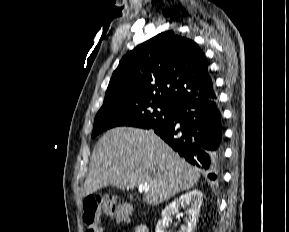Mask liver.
<instances>
[{
    "mask_svg": "<svg viewBox=\"0 0 289 232\" xmlns=\"http://www.w3.org/2000/svg\"><path fill=\"white\" fill-rule=\"evenodd\" d=\"M199 178L198 170L153 131L117 127L96 144L82 195L108 185L128 190L147 184L144 201L154 206L189 190Z\"/></svg>",
    "mask_w": 289,
    "mask_h": 232,
    "instance_id": "liver-1",
    "label": "liver"
}]
</instances>
